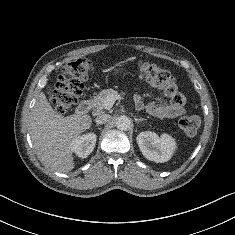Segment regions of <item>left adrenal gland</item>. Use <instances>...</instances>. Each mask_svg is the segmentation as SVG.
I'll list each match as a JSON object with an SVG mask.
<instances>
[{
    "mask_svg": "<svg viewBox=\"0 0 235 235\" xmlns=\"http://www.w3.org/2000/svg\"><path fill=\"white\" fill-rule=\"evenodd\" d=\"M145 120L146 119H144V118H135V122H137V123L145 121Z\"/></svg>",
    "mask_w": 235,
    "mask_h": 235,
    "instance_id": "left-adrenal-gland-1",
    "label": "left adrenal gland"
}]
</instances>
